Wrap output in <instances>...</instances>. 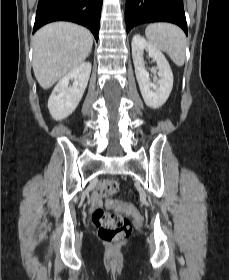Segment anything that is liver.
<instances>
[{"instance_id": "6515ba94", "label": "liver", "mask_w": 229, "mask_h": 280, "mask_svg": "<svg viewBox=\"0 0 229 280\" xmlns=\"http://www.w3.org/2000/svg\"><path fill=\"white\" fill-rule=\"evenodd\" d=\"M32 44L35 77L43 89H48L85 61L92 49L93 37L82 26L55 22L39 29Z\"/></svg>"}]
</instances>
